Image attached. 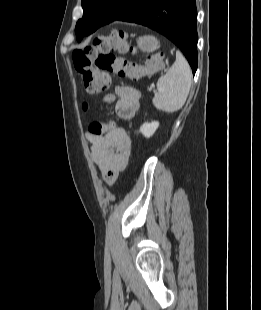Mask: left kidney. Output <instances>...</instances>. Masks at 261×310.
Masks as SVG:
<instances>
[{
    "mask_svg": "<svg viewBox=\"0 0 261 310\" xmlns=\"http://www.w3.org/2000/svg\"><path fill=\"white\" fill-rule=\"evenodd\" d=\"M158 126H159V122H157V121H153L151 123H144L140 127V132L146 138H150L155 133V131L157 130Z\"/></svg>",
    "mask_w": 261,
    "mask_h": 310,
    "instance_id": "obj_1",
    "label": "left kidney"
}]
</instances>
